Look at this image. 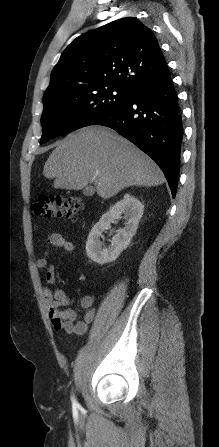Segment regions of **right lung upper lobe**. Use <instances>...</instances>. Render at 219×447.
<instances>
[{
  "instance_id": "right-lung-upper-lobe-1",
  "label": "right lung upper lobe",
  "mask_w": 219,
  "mask_h": 447,
  "mask_svg": "<svg viewBox=\"0 0 219 447\" xmlns=\"http://www.w3.org/2000/svg\"><path fill=\"white\" fill-rule=\"evenodd\" d=\"M168 73L152 31L139 20L126 17L74 39L53 68L44 96L86 93L103 85L133 93Z\"/></svg>"
}]
</instances>
